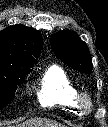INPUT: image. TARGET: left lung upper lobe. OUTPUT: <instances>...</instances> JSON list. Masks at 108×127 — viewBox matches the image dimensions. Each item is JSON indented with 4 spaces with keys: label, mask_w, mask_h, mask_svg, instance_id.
<instances>
[{
    "label": "left lung upper lobe",
    "mask_w": 108,
    "mask_h": 127,
    "mask_svg": "<svg viewBox=\"0 0 108 127\" xmlns=\"http://www.w3.org/2000/svg\"><path fill=\"white\" fill-rule=\"evenodd\" d=\"M51 46L55 55L64 63L84 73L92 72L89 49L76 32L61 31L51 38Z\"/></svg>",
    "instance_id": "5c2ea615"
}]
</instances>
